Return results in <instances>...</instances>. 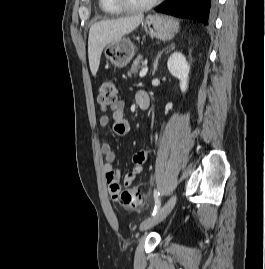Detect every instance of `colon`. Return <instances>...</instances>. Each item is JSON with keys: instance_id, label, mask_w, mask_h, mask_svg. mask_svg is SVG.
<instances>
[{"instance_id": "colon-1", "label": "colon", "mask_w": 265, "mask_h": 269, "mask_svg": "<svg viewBox=\"0 0 265 269\" xmlns=\"http://www.w3.org/2000/svg\"><path fill=\"white\" fill-rule=\"evenodd\" d=\"M98 104L103 110L114 107L117 102V89L112 79H105L99 86ZM112 194L118 199L124 207H137L142 204V194L139 190H130L120 192L117 187L111 188Z\"/></svg>"}]
</instances>
